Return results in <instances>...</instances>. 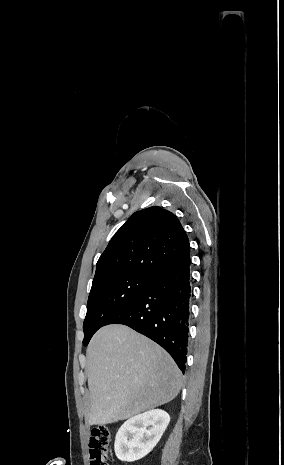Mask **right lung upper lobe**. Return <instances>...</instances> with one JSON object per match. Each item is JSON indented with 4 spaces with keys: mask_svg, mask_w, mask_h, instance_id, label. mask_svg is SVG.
Masks as SVG:
<instances>
[{
    "mask_svg": "<svg viewBox=\"0 0 284 465\" xmlns=\"http://www.w3.org/2000/svg\"><path fill=\"white\" fill-rule=\"evenodd\" d=\"M189 239L177 217L153 206L135 212L100 256L95 284L124 274L154 277L189 254Z\"/></svg>",
    "mask_w": 284,
    "mask_h": 465,
    "instance_id": "cb5924a9",
    "label": "right lung upper lobe"
}]
</instances>
